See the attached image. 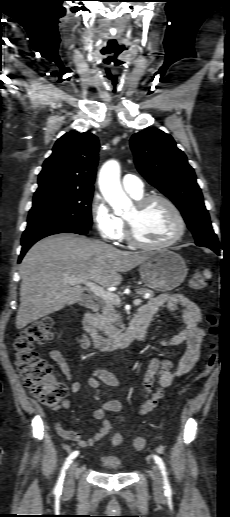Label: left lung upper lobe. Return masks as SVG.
I'll return each mask as SVG.
<instances>
[{"instance_id":"5c2ea615","label":"left lung upper lobe","mask_w":230,"mask_h":517,"mask_svg":"<svg viewBox=\"0 0 230 517\" xmlns=\"http://www.w3.org/2000/svg\"><path fill=\"white\" fill-rule=\"evenodd\" d=\"M130 145L138 171L181 211L196 244L219 246L194 170L173 138L152 128L134 134Z\"/></svg>"}]
</instances>
